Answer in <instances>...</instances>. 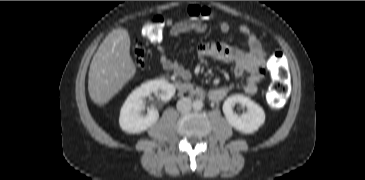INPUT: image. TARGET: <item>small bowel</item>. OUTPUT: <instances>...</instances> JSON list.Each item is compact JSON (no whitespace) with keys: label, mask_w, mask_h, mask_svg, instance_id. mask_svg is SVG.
I'll use <instances>...</instances> for the list:
<instances>
[{"label":"small bowel","mask_w":365,"mask_h":180,"mask_svg":"<svg viewBox=\"0 0 365 180\" xmlns=\"http://www.w3.org/2000/svg\"><path fill=\"white\" fill-rule=\"evenodd\" d=\"M169 28L168 38L174 40L178 36L187 32H204L207 28L203 21H178L167 19ZM219 29L223 35H227L230 26L227 22H219ZM247 43V49H242L229 45L222 40L215 43L200 44L196 48V55L200 59H212L216 61L229 62L232 64V72L236 77L247 75L242 91L246 95H254L258 90V85L266 77V65L268 55L257 36L247 27L242 25L239 29ZM157 53L161 66L168 71H172L184 81H189L191 72L181 63L168 57L165 47L158 42ZM227 94L225 87H215L210 90L209 97L212 101H220Z\"/></svg>","instance_id":"c3829d8e"}]
</instances>
